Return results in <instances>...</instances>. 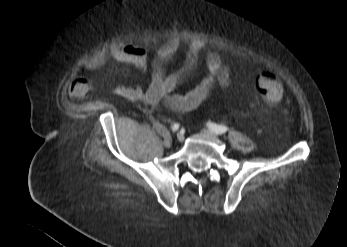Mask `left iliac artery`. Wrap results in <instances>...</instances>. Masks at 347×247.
Masks as SVG:
<instances>
[{
    "label": "left iliac artery",
    "mask_w": 347,
    "mask_h": 247,
    "mask_svg": "<svg viewBox=\"0 0 347 247\" xmlns=\"http://www.w3.org/2000/svg\"><path fill=\"white\" fill-rule=\"evenodd\" d=\"M207 126L211 131H213L217 134H223L228 130V128L226 126L218 125V124L210 123V122L207 124Z\"/></svg>",
    "instance_id": "obj_1"
}]
</instances>
